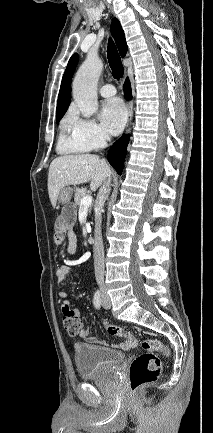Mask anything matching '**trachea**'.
Listing matches in <instances>:
<instances>
[{
	"label": "trachea",
	"mask_w": 213,
	"mask_h": 433,
	"mask_svg": "<svg viewBox=\"0 0 213 433\" xmlns=\"http://www.w3.org/2000/svg\"><path fill=\"white\" fill-rule=\"evenodd\" d=\"M107 57L110 68L112 70L113 77L119 79L124 74V68L121 62L120 55L114 42L110 39L107 47Z\"/></svg>",
	"instance_id": "3493384b"
}]
</instances>
